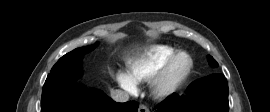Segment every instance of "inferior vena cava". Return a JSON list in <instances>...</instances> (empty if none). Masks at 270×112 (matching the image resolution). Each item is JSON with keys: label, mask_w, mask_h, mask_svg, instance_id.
Returning <instances> with one entry per match:
<instances>
[{"label": "inferior vena cava", "mask_w": 270, "mask_h": 112, "mask_svg": "<svg viewBox=\"0 0 270 112\" xmlns=\"http://www.w3.org/2000/svg\"><path fill=\"white\" fill-rule=\"evenodd\" d=\"M111 98L116 102H127L129 100V94L122 90H112Z\"/></svg>", "instance_id": "obj_1"}]
</instances>
